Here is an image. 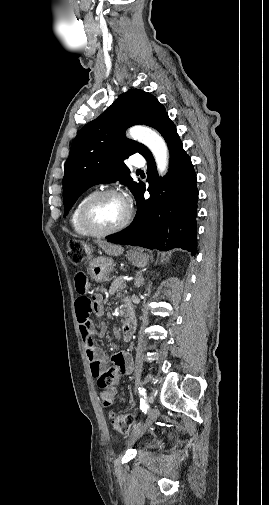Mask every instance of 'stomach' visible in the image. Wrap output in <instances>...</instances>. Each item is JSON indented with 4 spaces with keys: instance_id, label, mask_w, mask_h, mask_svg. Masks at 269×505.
Instances as JSON below:
<instances>
[{
    "instance_id": "stomach-1",
    "label": "stomach",
    "mask_w": 269,
    "mask_h": 505,
    "mask_svg": "<svg viewBox=\"0 0 269 505\" xmlns=\"http://www.w3.org/2000/svg\"><path fill=\"white\" fill-rule=\"evenodd\" d=\"M126 257L137 267H144L149 261V255L141 249L130 250ZM114 266L115 264L111 258L98 257L89 262L88 273L91 279L97 284H102L109 281V276L113 271Z\"/></svg>"
}]
</instances>
